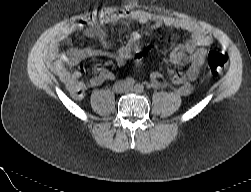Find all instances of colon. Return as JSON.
<instances>
[{
	"label": "colon",
	"mask_w": 251,
	"mask_h": 192,
	"mask_svg": "<svg viewBox=\"0 0 251 192\" xmlns=\"http://www.w3.org/2000/svg\"><path fill=\"white\" fill-rule=\"evenodd\" d=\"M227 65L225 56L216 51H210L207 56V69L214 77L220 76Z\"/></svg>",
	"instance_id": "1"
}]
</instances>
